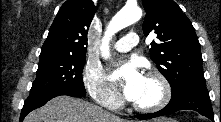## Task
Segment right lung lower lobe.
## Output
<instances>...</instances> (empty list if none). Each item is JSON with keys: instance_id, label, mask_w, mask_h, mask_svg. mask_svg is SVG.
I'll list each match as a JSON object with an SVG mask.
<instances>
[{"instance_id": "right-lung-lower-lobe-1", "label": "right lung lower lobe", "mask_w": 221, "mask_h": 122, "mask_svg": "<svg viewBox=\"0 0 221 122\" xmlns=\"http://www.w3.org/2000/svg\"><path fill=\"white\" fill-rule=\"evenodd\" d=\"M60 95L84 97L86 94L85 91H80L72 88H56L45 92L30 93L29 97L24 102V106L21 111L20 122L23 121V119L29 112L43 106L50 99Z\"/></svg>"}]
</instances>
